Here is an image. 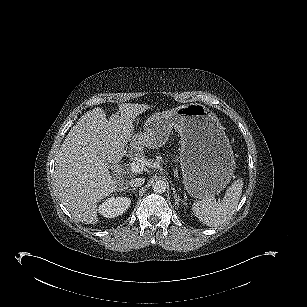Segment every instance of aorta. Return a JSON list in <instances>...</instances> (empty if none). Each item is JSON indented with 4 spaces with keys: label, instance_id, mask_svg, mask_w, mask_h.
Masks as SVG:
<instances>
[{
    "label": "aorta",
    "instance_id": "aorta-1",
    "mask_svg": "<svg viewBox=\"0 0 307 307\" xmlns=\"http://www.w3.org/2000/svg\"><path fill=\"white\" fill-rule=\"evenodd\" d=\"M167 189V184L165 181L161 180V179H155L152 182V190L155 193H164Z\"/></svg>",
    "mask_w": 307,
    "mask_h": 307
}]
</instances>
